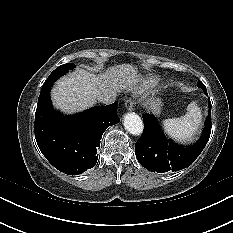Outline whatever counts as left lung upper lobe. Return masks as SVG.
Segmentation results:
<instances>
[{"mask_svg": "<svg viewBox=\"0 0 233 233\" xmlns=\"http://www.w3.org/2000/svg\"><path fill=\"white\" fill-rule=\"evenodd\" d=\"M197 86L202 89L206 88L205 85L201 81H198Z\"/></svg>", "mask_w": 233, "mask_h": 233, "instance_id": "obj_1", "label": "left lung upper lobe"}]
</instances>
